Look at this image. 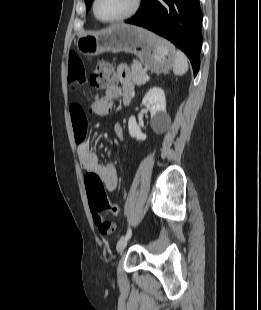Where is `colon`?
Masks as SVG:
<instances>
[{
    "label": "colon",
    "mask_w": 261,
    "mask_h": 310,
    "mask_svg": "<svg viewBox=\"0 0 261 310\" xmlns=\"http://www.w3.org/2000/svg\"><path fill=\"white\" fill-rule=\"evenodd\" d=\"M91 86L101 90L116 83V77L112 65L107 61H99L90 77ZM90 209L93 212V220L98 230L103 235H109L114 231V224L105 219L103 211H110L118 215L120 208L109 202L101 178L95 173H87L85 176Z\"/></svg>",
    "instance_id": "1"
}]
</instances>
